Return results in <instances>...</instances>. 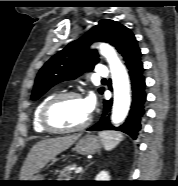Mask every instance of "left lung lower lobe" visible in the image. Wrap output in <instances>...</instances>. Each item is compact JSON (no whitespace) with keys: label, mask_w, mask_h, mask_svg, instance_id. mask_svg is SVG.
I'll return each instance as SVG.
<instances>
[{"label":"left lung lower lobe","mask_w":178,"mask_h":186,"mask_svg":"<svg viewBox=\"0 0 178 186\" xmlns=\"http://www.w3.org/2000/svg\"><path fill=\"white\" fill-rule=\"evenodd\" d=\"M126 66L132 85V103L127 118L119 127H114L110 122L112 100L104 101V111L101 119L90 127L89 131L117 130L124 132L136 139L141 130V121L145 114L144 104L146 101L145 77L143 76V63L141 53L131 58Z\"/></svg>","instance_id":"obj_1"}]
</instances>
